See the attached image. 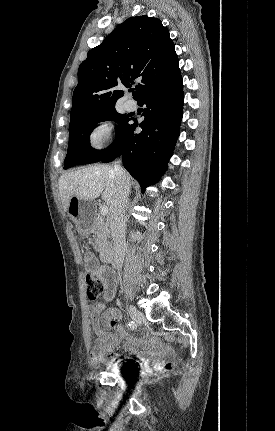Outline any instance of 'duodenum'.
<instances>
[{
	"label": "duodenum",
	"mask_w": 275,
	"mask_h": 431,
	"mask_svg": "<svg viewBox=\"0 0 275 431\" xmlns=\"http://www.w3.org/2000/svg\"><path fill=\"white\" fill-rule=\"evenodd\" d=\"M100 258L105 263H113L116 259L114 246L111 244L104 245L100 249Z\"/></svg>",
	"instance_id": "duodenum-1"
}]
</instances>
